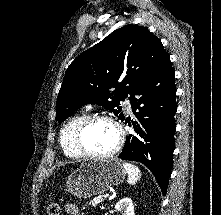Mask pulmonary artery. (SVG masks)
<instances>
[{
  "mask_svg": "<svg viewBox=\"0 0 221 215\" xmlns=\"http://www.w3.org/2000/svg\"><path fill=\"white\" fill-rule=\"evenodd\" d=\"M125 104H126L127 110L131 111V103H130V101L127 100Z\"/></svg>",
  "mask_w": 221,
  "mask_h": 215,
  "instance_id": "e3ab8cb5",
  "label": "pulmonary artery"
}]
</instances>
